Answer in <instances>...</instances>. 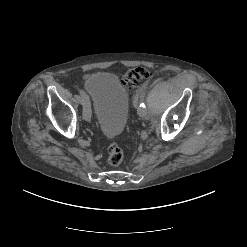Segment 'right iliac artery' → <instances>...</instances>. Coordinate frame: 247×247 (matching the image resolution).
I'll list each match as a JSON object with an SVG mask.
<instances>
[{"label":"right iliac artery","mask_w":247,"mask_h":247,"mask_svg":"<svg viewBox=\"0 0 247 247\" xmlns=\"http://www.w3.org/2000/svg\"><path fill=\"white\" fill-rule=\"evenodd\" d=\"M79 93H80V95H78V100H79V103L81 104V105H84L85 104V101H84V99H86V94L84 93V91L83 90H79Z\"/></svg>","instance_id":"82829eb1"}]
</instances>
